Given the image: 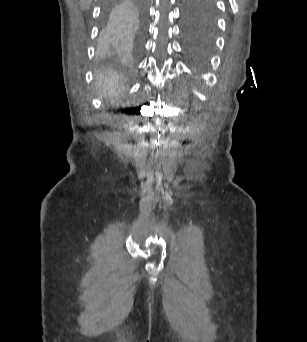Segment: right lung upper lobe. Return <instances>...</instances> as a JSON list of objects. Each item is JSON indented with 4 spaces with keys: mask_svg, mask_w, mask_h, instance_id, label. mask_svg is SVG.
Instances as JSON below:
<instances>
[{
    "mask_svg": "<svg viewBox=\"0 0 307 342\" xmlns=\"http://www.w3.org/2000/svg\"><path fill=\"white\" fill-rule=\"evenodd\" d=\"M117 2H111L112 7L122 9L134 19L138 20L143 12L144 3L143 0H115Z\"/></svg>",
    "mask_w": 307,
    "mask_h": 342,
    "instance_id": "right-lung-upper-lobe-1",
    "label": "right lung upper lobe"
}]
</instances>
